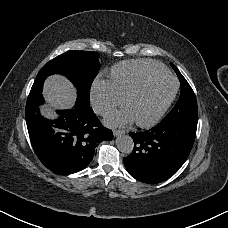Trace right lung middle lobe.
Instances as JSON below:
<instances>
[{"label":"right lung middle lobe","instance_id":"dd1d6c3e","mask_svg":"<svg viewBox=\"0 0 228 228\" xmlns=\"http://www.w3.org/2000/svg\"><path fill=\"white\" fill-rule=\"evenodd\" d=\"M97 52L68 51L46 63L40 70L30 93L42 92L47 76L61 74L67 77L77 88V103L89 106L91 84L98 74L100 64Z\"/></svg>","mask_w":228,"mask_h":228}]
</instances>
